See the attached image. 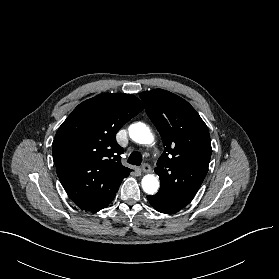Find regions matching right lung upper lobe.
<instances>
[{
    "instance_id": "1",
    "label": "right lung upper lobe",
    "mask_w": 279,
    "mask_h": 279,
    "mask_svg": "<svg viewBox=\"0 0 279 279\" xmlns=\"http://www.w3.org/2000/svg\"><path fill=\"white\" fill-rule=\"evenodd\" d=\"M143 110L132 94L105 93L79 104L58 129L53 161L58 178L81 209L107 207L131 169L120 163L117 131Z\"/></svg>"
}]
</instances>
